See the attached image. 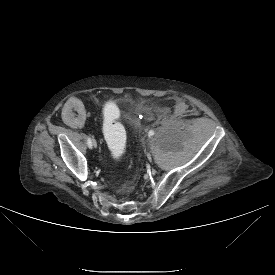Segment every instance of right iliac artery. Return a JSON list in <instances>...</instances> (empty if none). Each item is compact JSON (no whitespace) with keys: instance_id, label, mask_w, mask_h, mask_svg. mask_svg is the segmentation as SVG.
<instances>
[{"instance_id":"right-iliac-artery-1","label":"right iliac artery","mask_w":275,"mask_h":275,"mask_svg":"<svg viewBox=\"0 0 275 275\" xmlns=\"http://www.w3.org/2000/svg\"><path fill=\"white\" fill-rule=\"evenodd\" d=\"M87 144H88V147H89V148H92V141H91V138H88Z\"/></svg>"}]
</instances>
